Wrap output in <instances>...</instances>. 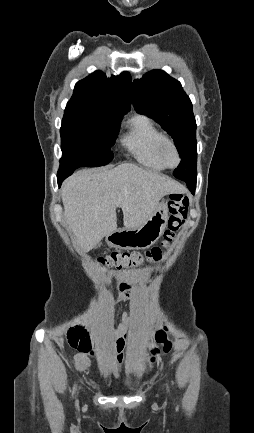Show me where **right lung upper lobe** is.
<instances>
[{
    "label": "right lung upper lobe",
    "instance_id": "cb5924a9",
    "mask_svg": "<svg viewBox=\"0 0 254 433\" xmlns=\"http://www.w3.org/2000/svg\"><path fill=\"white\" fill-rule=\"evenodd\" d=\"M130 104L131 76L128 72L107 78L101 71H96L76 83L66 108L101 109L111 114L114 120H122L130 110Z\"/></svg>",
    "mask_w": 254,
    "mask_h": 433
}]
</instances>
